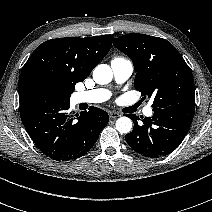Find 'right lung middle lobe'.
<instances>
[{
    "mask_svg": "<svg viewBox=\"0 0 212 212\" xmlns=\"http://www.w3.org/2000/svg\"><path fill=\"white\" fill-rule=\"evenodd\" d=\"M39 101H55V102H69L70 94L59 93L51 85L40 84L34 86L28 95V102Z\"/></svg>",
    "mask_w": 212,
    "mask_h": 212,
    "instance_id": "obj_1",
    "label": "right lung middle lobe"
}]
</instances>
